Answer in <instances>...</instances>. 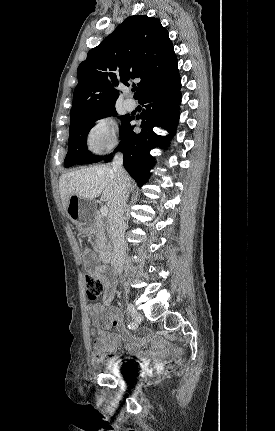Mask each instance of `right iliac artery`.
<instances>
[{"label": "right iliac artery", "mask_w": 275, "mask_h": 431, "mask_svg": "<svg viewBox=\"0 0 275 431\" xmlns=\"http://www.w3.org/2000/svg\"><path fill=\"white\" fill-rule=\"evenodd\" d=\"M136 327H137V324H135L134 322H131L129 325L130 329H136Z\"/></svg>", "instance_id": "82829eb1"}]
</instances>
